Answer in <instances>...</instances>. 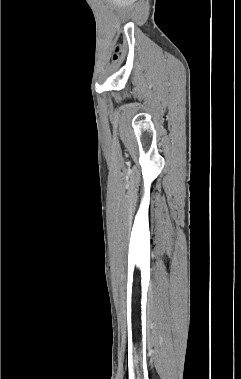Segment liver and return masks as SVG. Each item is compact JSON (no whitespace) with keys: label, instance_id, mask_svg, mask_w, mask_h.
<instances>
[{"label":"liver","instance_id":"1","mask_svg":"<svg viewBox=\"0 0 241 379\" xmlns=\"http://www.w3.org/2000/svg\"><path fill=\"white\" fill-rule=\"evenodd\" d=\"M116 4L120 6L129 5L134 2V0H115Z\"/></svg>","mask_w":241,"mask_h":379}]
</instances>
